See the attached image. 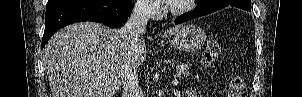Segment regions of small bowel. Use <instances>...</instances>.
I'll use <instances>...</instances> for the list:
<instances>
[{
    "mask_svg": "<svg viewBox=\"0 0 302 97\" xmlns=\"http://www.w3.org/2000/svg\"><path fill=\"white\" fill-rule=\"evenodd\" d=\"M188 97H194V95L192 93H189Z\"/></svg>",
    "mask_w": 302,
    "mask_h": 97,
    "instance_id": "c3829d8e",
    "label": "small bowel"
}]
</instances>
